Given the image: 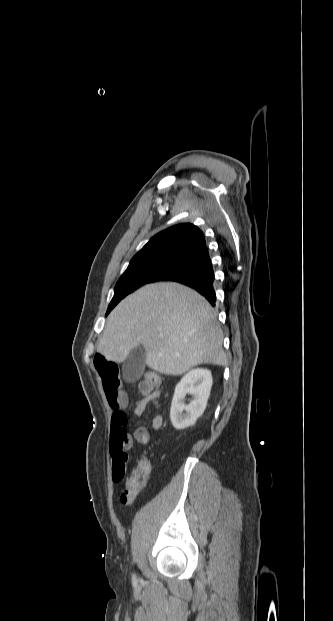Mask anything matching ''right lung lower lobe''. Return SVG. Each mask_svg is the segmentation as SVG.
<instances>
[{
    "instance_id": "1",
    "label": "right lung lower lobe",
    "mask_w": 333,
    "mask_h": 621,
    "mask_svg": "<svg viewBox=\"0 0 333 621\" xmlns=\"http://www.w3.org/2000/svg\"><path fill=\"white\" fill-rule=\"evenodd\" d=\"M161 281H174L189 286L203 295L212 306L216 296L213 288L214 272L207 247L189 256Z\"/></svg>"
}]
</instances>
